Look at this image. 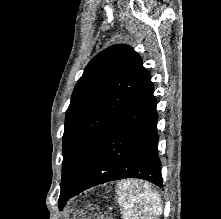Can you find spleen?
I'll list each match as a JSON object with an SVG mask.
<instances>
[{
    "mask_svg": "<svg viewBox=\"0 0 221 219\" xmlns=\"http://www.w3.org/2000/svg\"><path fill=\"white\" fill-rule=\"evenodd\" d=\"M116 192L124 219H158L162 213L160 195L147 182L122 180Z\"/></svg>",
    "mask_w": 221,
    "mask_h": 219,
    "instance_id": "obj_1",
    "label": "spleen"
}]
</instances>
